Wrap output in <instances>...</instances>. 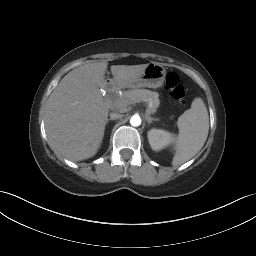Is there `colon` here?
Here are the masks:
<instances>
[{"mask_svg":"<svg viewBox=\"0 0 256 256\" xmlns=\"http://www.w3.org/2000/svg\"><path fill=\"white\" fill-rule=\"evenodd\" d=\"M165 85L174 100L182 104L185 102V90L179 76L175 72L166 74Z\"/></svg>","mask_w":256,"mask_h":256,"instance_id":"obj_1","label":"colon"}]
</instances>
